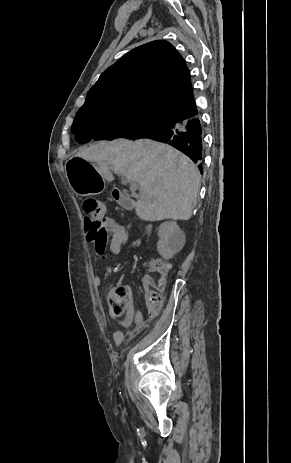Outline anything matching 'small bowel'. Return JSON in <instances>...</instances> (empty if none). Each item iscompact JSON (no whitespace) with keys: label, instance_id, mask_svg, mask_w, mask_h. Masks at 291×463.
<instances>
[{"label":"small bowel","instance_id":"1","mask_svg":"<svg viewBox=\"0 0 291 463\" xmlns=\"http://www.w3.org/2000/svg\"><path fill=\"white\" fill-rule=\"evenodd\" d=\"M85 240L88 245L92 246L95 252L105 257L106 251L111 255H119L122 247L127 245L128 249L138 248L141 245L139 239L128 241V234L125 228L109 217H104L101 220V228L87 229L85 233ZM97 284L101 283L100 276L96 275L94 278ZM146 282V276L143 278ZM130 311L128 317L123 321L124 325L133 323L135 327H140L144 322V316L141 311H134L132 302H129ZM152 317V316H150ZM124 338V333L121 330H116L113 334V342L119 346Z\"/></svg>","mask_w":291,"mask_h":463}]
</instances>
